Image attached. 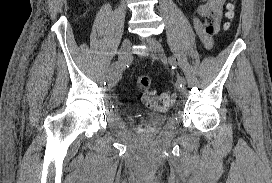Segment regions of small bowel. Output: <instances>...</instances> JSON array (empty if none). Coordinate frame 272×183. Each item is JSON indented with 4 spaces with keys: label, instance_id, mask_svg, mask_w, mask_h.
I'll use <instances>...</instances> for the list:
<instances>
[{
    "label": "small bowel",
    "instance_id": "obj_1",
    "mask_svg": "<svg viewBox=\"0 0 272 183\" xmlns=\"http://www.w3.org/2000/svg\"><path fill=\"white\" fill-rule=\"evenodd\" d=\"M226 0H200L192 19L195 33L206 49L213 46L212 35L219 29Z\"/></svg>",
    "mask_w": 272,
    "mask_h": 183
}]
</instances>
